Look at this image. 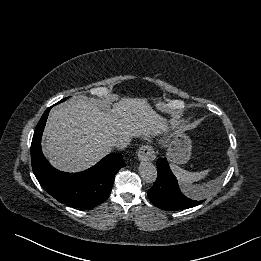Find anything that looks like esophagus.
I'll return each instance as SVG.
<instances>
[{"instance_id":"1","label":"esophagus","mask_w":261,"mask_h":261,"mask_svg":"<svg viewBox=\"0 0 261 261\" xmlns=\"http://www.w3.org/2000/svg\"><path fill=\"white\" fill-rule=\"evenodd\" d=\"M137 156L141 161H154L156 158L155 151L149 144L142 145L137 151Z\"/></svg>"}]
</instances>
